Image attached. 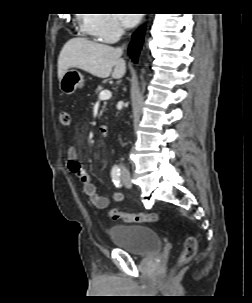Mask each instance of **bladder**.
Returning a JSON list of instances; mask_svg holds the SVG:
<instances>
[{"instance_id":"31cf9c89","label":"bladder","mask_w":252,"mask_h":303,"mask_svg":"<svg viewBox=\"0 0 252 303\" xmlns=\"http://www.w3.org/2000/svg\"><path fill=\"white\" fill-rule=\"evenodd\" d=\"M113 244L136 257H146L161 251V239L156 230L145 225L116 224L109 229Z\"/></svg>"}]
</instances>
